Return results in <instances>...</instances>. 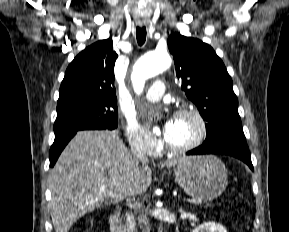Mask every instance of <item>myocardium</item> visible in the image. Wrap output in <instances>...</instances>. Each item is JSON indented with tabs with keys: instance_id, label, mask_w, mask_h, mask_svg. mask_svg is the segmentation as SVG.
Listing matches in <instances>:
<instances>
[{
	"instance_id": "f54148a6",
	"label": "myocardium",
	"mask_w": 289,
	"mask_h": 232,
	"mask_svg": "<svg viewBox=\"0 0 289 232\" xmlns=\"http://www.w3.org/2000/svg\"><path fill=\"white\" fill-rule=\"evenodd\" d=\"M186 114L191 115L196 120L198 124V134L193 141L184 146L175 147L168 143L167 149L175 154H183L196 149L204 142L207 137L208 126L203 114L193 106H183L175 112V116H181Z\"/></svg>"
}]
</instances>
